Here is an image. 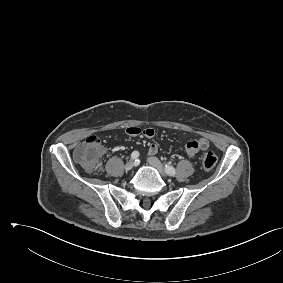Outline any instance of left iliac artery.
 Segmentation results:
<instances>
[{"mask_svg": "<svg viewBox=\"0 0 283 283\" xmlns=\"http://www.w3.org/2000/svg\"><path fill=\"white\" fill-rule=\"evenodd\" d=\"M165 172L170 176H174L176 174L175 168L168 164H165Z\"/></svg>", "mask_w": 283, "mask_h": 283, "instance_id": "obj_1", "label": "left iliac artery"}]
</instances>
